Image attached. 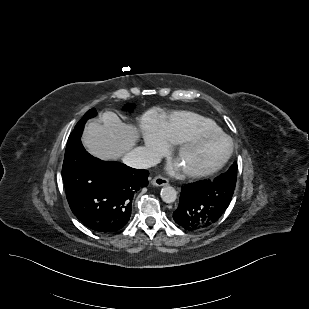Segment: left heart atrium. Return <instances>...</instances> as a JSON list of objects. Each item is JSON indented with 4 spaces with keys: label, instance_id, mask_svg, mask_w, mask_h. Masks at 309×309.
<instances>
[{
    "label": "left heart atrium",
    "instance_id": "1",
    "mask_svg": "<svg viewBox=\"0 0 309 309\" xmlns=\"http://www.w3.org/2000/svg\"><path fill=\"white\" fill-rule=\"evenodd\" d=\"M170 170H171V171L176 170V166H175V165L171 166V167H170Z\"/></svg>",
    "mask_w": 309,
    "mask_h": 309
}]
</instances>
